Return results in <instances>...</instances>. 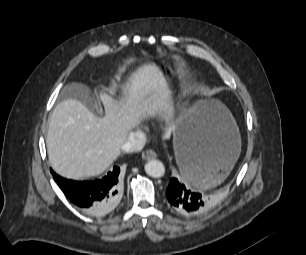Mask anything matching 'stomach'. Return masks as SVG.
Wrapping results in <instances>:
<instances>
[{
    "label": "stomach",
    "instance_id": "stomach-1",
    "mask_svg": "<svg viewBox=\"0 0 306 255\" xmlns=\"http://www.w3.org/2000/svg\"><path fill=\"white\" fill-rule=\"evenodd\" d=\"M140 49L152 59L156 70L166 77L170 85L179 81L174 68L157 46L150 41H143ZM173 144L180 169L185 153H191L209 164L211 171L207 179H187L200 189H208L224 181L241 151L236 122L230 111L218 100L198 99L183 107L173 130Z\"/></svg>",
    "mask_w": 306,
    "mask_h": 255
}]
</instances>
